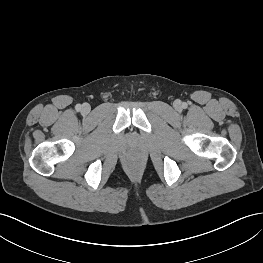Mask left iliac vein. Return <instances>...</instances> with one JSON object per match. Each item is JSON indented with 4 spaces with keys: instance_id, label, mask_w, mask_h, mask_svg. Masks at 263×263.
I'll return each instance as SVG.
<instances>
[{
    "instance_id": "left-iliac-vein-1",
    "label": "left iliac vein",
    "mask_w": 263,
    "mask_h": 263,
    "mask_svg": "<svg viewBox=\"0 0 263 263\" xmlns=\"http://www.w3.org/2000/svg\"><path fill=\"white\" fill-rule=\"evenodd\" d=\"M174 106L177 110L181 109V102L180 101H175Z\"/></svg>"
}]
</instances>
